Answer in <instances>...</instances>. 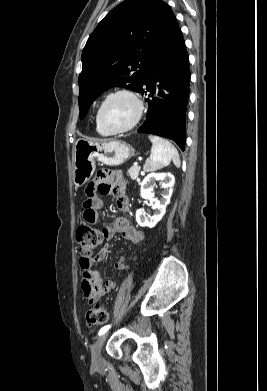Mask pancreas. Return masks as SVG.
<instances>
[{"label": "pancreas", "mask_w": 267, "mask_h": 391, "mask_svg": "<svg viewBox=\"0 0 267 391\" xmlns=\"http://www.w3.org/2000/svg\"><path fill=\"white\" fill-rule=\"evenodd\" d=\"M140 166H132L129 170H128V176L135 180L138 178V175H139V172H140Z\"/></svg>", "instance_id": "obj_1"}]
</instances>
